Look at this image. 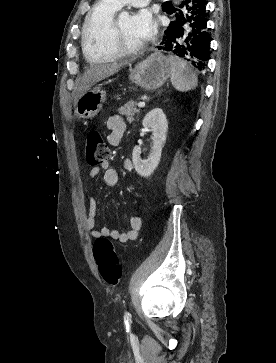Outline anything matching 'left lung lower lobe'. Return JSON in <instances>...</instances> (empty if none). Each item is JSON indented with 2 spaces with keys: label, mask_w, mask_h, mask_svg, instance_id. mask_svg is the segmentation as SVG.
<instances>
[{
  "label": "left lung lower lobe",
  "mask_w": 276,
  "mask_h": 363,
  "mask_svg": "<svg viewBox=\"0 0 276 363\" xmlns=\"http://www.w3.org/2000/svg\"><path fill=\"white\" fill-rule=\"evenodd\" d=\"M206 0H184L176 21L170 23L158 49L170 51L196 69H205L208 59L209 37L207 32Z\"/></svg>",
  "instance_id": "obj_1"
}]
</instances>
